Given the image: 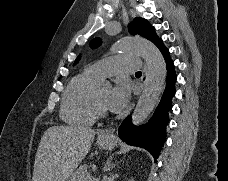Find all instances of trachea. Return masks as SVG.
<instances>
[{
  "label": "trachea",
  "instance_id": "3493384b",
  "mask_svg": "<svg viewBox=\"0 0 228 181\" xmlns=\"http://www.w3.org/2000/svg\"><path fill=\"white\" fill-rule=\"evenodd\" d=\"M136 75H142V72L141 71H137Z\"/></svg>",
  "mask_w": 228,
  "mask_h": 181
}]
</instances>
